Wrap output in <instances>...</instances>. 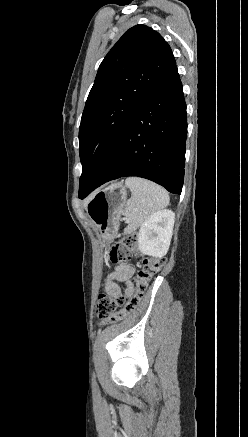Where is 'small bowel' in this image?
Masks as SVG:
<instances>
[{
	"label": "small bowel",
	"mask_w": 248,
	"mask_h": 437,
	"mask_svg": "<svg viewBox=\"0 0 248 437\" xmlns=\"http://www.w3.org/2000/svg\"><path fill=\"white\" fill-rule=\"evenodd\" d=\"M132 268L128 266H118L115 270L107 277L105 282L106 291L110 294L117 295L120 293L119 286L116 281H125L132 274ZM133 292V287L130 286L128 293Z\"/></svg>",
	"instance_id": "small-bowel-1"
}]
</instances>
